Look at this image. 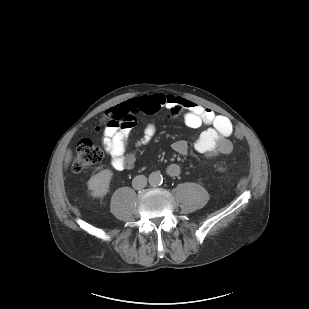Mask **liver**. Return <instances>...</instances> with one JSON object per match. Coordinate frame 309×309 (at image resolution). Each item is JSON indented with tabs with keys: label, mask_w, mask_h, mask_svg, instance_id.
Returning a JSON list of instances; mask_svg holds the SVG:
<instances>
[{
	"label": "liver",
	"mask_w": 309,
	"mask_h": 309,
	"mask_svg": "<svg viewBox=\"0 0 309 309\" xmlns=\"http://www.w3.org/2000/svg\"><path fill=\"white\" fill-rule=\"evenodd\" d=\"M72 159V152L71 150H68L66 152V156H65V165L68 166V164L71 162Z\"/></svg>",
	"instance_id": "6515ba94"
}]
</instances>
